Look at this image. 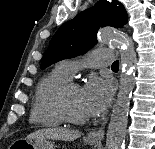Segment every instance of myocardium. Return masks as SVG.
I'll return each instance as SVG.
<instances>
[{"label":"myocardium","mask_w":155,"mask_h":149,"mask_svg":"<svg viewBox=\"0 0 155 149\" xmlns=\"http://www.w3.org/2000/svg\"><path fill=\"white\" fill-rule=\"evenodd\" d=\"M73 87H79L77 83L68 81L64 83L57 93V106L64 120L75 125H81L88 121L87 117H78L72 113L67 102L68 91Z\"/></svg>","instance_id":"myocardium-1"}]
</instances>
